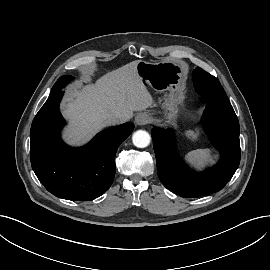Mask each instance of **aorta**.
I'll use <instances>...</instances> for the list:
<instances>
[{
  "label": "aorta",
  "instance_id": "obj_1",
  "mask_svg": "<svg viewBox=\"0 0 270 270\" xmlns=\"http://www.w3.org/2000/svg\"><path fill=\"white\" fill-rule=\"evenodd\" d=\"M150 135L144 130L136 131L132 136L133 144L138 148H145L150 143Z\"/></svg>",
  "mask_w": 270,
  "mask_h": 270
}]
</instances>
